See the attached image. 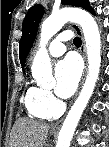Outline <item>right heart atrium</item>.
I'll return each mask as SVG.
<instances>
[{"label":"right heart atrium","instance_id":"d8ad5b80","mask_svg":"<svg viewBox=\"0 0 109 147\" xmlns=\"http://www.w3.org/2000/svg\"><path fill=\"white\" fill-rule=\"evenodd\" d=\"M39 99L41 103L48 109L56 110L58 108V101L49 90L41 89Z\"/></svg>","mask_w":109,"mask_h":147}]
</instances>
